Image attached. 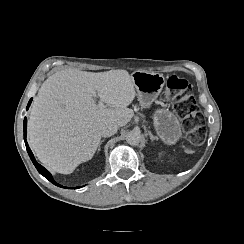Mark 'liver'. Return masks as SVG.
I'll return each instance as SVG.
<instances>
[{"label":"liver","instance_id":"liver-1","mask_svg":"<svg viewBox=\"0 0 244 244\" xmlns=\"http://www.w3.org/2000/svg\"><path fill=\"white\" fill-rule=\"evenodd\" d=\"M99 94L104 106L96 103ZM135 84L124 69L91 73L61 70L41 85L28 122L29 143L49 169L72 173L92 159L101 128L115 122L124 127L134 117L127 108L135 99Z\"/></svg>","mask_w":244,"mask_h":244}]
</instances>
